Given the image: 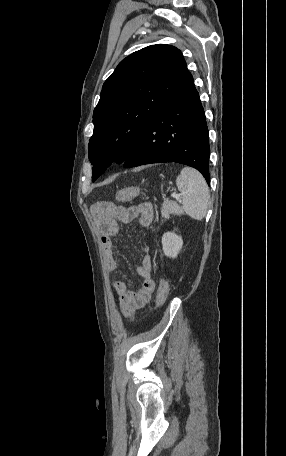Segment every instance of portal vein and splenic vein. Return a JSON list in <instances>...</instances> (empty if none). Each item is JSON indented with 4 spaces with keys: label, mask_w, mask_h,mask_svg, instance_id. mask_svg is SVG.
Returning <instances> with one entry per match:
<instances>
[{
    "label": "portal vein and splenic vein",
    "mask_w": 286,
    "mask_h": 456,
    "mask_svg": "<svg viewBox=\"0 0 286 456\" xmlns=\"http://www.w3.org/2000/svg\"><path fill=\"white\" fill-rule=\"evenodd\" d=\"M171 196L176 199H180V197H181L180 194H175V193H173Z\"/></svg>",
    "instance_id": "obj_1"
}]
</instances>
